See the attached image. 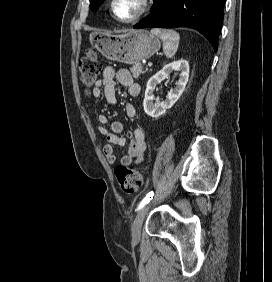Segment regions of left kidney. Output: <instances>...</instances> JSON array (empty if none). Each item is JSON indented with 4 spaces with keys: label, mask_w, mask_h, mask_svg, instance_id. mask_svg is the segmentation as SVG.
Returning a JSON list of instances; mask_svg holds the SVG:
<instances>
[{
    "label": "left kidney",
    "mask_w": 272,
    "mask_h": 282,
    "mask_svg": "<svg viewBox=\"0 0 272 282\" xmlns=\"http://www.w3.org/2000/svg\"><path fill=\"white\" fill-rule=\"evenodd\" d=\"M177 71L180 73L179 80L174 89H171L165 101L153 104L154 90L158 83L169 77L170 73ZM189 78V63L185 59L173 61L165 65L160 71L153 75L147 82L145 98L143 101L144 111L147 115L158 118L163 115L167 109H170L182 95Z\"/></svg>",
    "instance_id": "1"
}]
</instances>
